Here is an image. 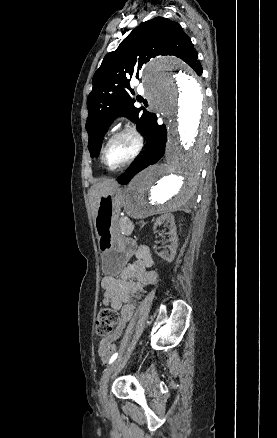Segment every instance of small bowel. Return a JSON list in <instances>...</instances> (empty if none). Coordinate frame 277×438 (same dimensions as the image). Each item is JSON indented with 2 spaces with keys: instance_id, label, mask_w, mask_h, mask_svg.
Segmentation results:
<instances>
[{
  "instance_id": "obj_1",
  "label": "small bowel",
  "mask_w": 277,
  "mask_h": 438,
  "mask_svg": "<svg viewBox=\"0 0 277 438\" xmlns=\"http://www.w3.org/2000/svg\"><path fill=\"white\" fill-rule=\"evenodd\" d=\"M135 259L117 276H105L101 280L104 289L103 303L119 311V319L112 334L100 344L98 353L102 361H107L115 352L112 341L118 339L132 318L135 299L138 298L145 285L155 284L157 274L150 271L153 259L146 246H138L134 252Z\"/></svg>"
}]
</instances>
